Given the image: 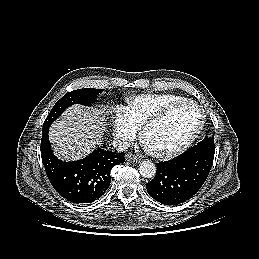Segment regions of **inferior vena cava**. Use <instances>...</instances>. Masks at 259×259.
<instances>
[{
  "mask_svg": "<svg viewBox=\"0 0 259 259\" xmlns=\"http://www.w3.org/2000/svg\"><path fill=\"white\" fill-rule=\"evenodd\" d=\"M113 146L117 151H126L130 147V143L124 138H115Z\"/></svg>",
  "mask_w": 259,
  "mask_h": 259,
  "instance_id": "obj_1",
  "label": "inferior vena cava"
}]
</instances>
